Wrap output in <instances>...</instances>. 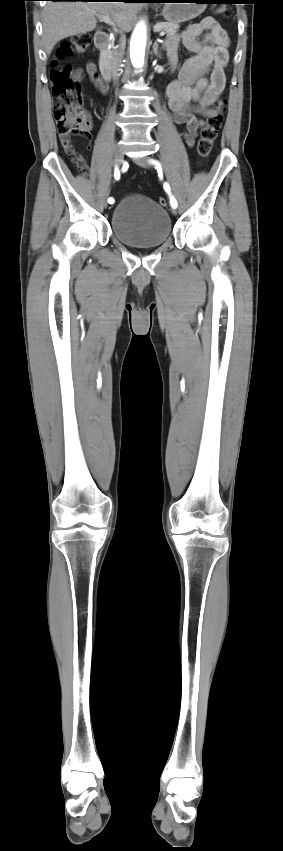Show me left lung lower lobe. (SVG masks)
I'll list each match as a JSON object with an SVG mask.
<instances>
[{
    "mask_svg": "<svg viewBox=\"0 0 283 851\" xmlns=\"http://www.w3.org/2000/svg\"><path fill=\"white\" fill-rule=\"evenodd\" d=\"M150 1H151V2H161V0H150ZM209 3H228V4H234V3H239V2H238L237 0H227L226 2H209Z\"/></svg>",
    "mask_w": 283,
    "mask_h": 851,
    "instance_id": "obj_1",
    "label": "left lung lower lobe"
}]
</instances>
